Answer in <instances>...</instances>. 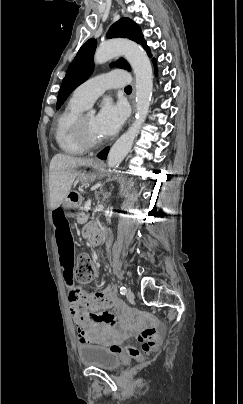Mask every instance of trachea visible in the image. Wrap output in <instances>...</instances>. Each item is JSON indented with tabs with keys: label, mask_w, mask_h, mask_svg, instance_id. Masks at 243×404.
<instances>
[{
	"label": "trachea",
	"mask_w": 243,
	"mask_h": 404,
	"mask_svg": "<svg viewBox=\"0 0 243 404\" xmlns=\"http://www.w3.org/2000/svg\"><path fill=\"white\" fill-rule=\"evenodd\" d=\"M124 90H126V91H132V87H131L130 85H127V87H125Z\"/></svg>",
	"instance_id": "trachea-1"
}]
</instances>
